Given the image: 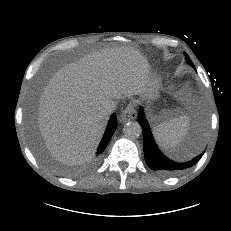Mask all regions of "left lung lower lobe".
Returning <instances> with one entry per match:
<instances>
[{"instance_id":"left-lung-lower-lobe-1","label":"left lung lower lobe","mask_w":231,"mask_h":231,"mask_svg":"<svg viewBox=\"0 0 231 231\" xmlns=\"http://www.w3.org/2000/svg\"><path fill=\"white\" fill-rule=\"evenodd\" d=\"M138 122L143 129V150L147 165L154 171L164 175H174L195 165L203 156L204 152L188 162H179L168 159L158 149L153 139L150 127L146 121L143 110L140 109Z\"/></svg>"}]
</instances>
